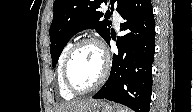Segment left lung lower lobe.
I'll return each mask as SVG.
<instances>
[{
	"mask_svg": "<svg viewBox=\"0 0 193 112\" xmlns=\"http://www.w3.org/2000/svg\"><path fill=\"white\" fill-rule=\"evenodd\" d=\"M125 20L117 39L110 76L93 96L95 99L128 106L136 112H149L152 93V63L155 53V25L150 0H132L120 13ZM109 36L107 43L110 42Z\"/></svg>",
	"mask_w": 193,
	"mask_h": 112,
	"instance_id": "1",
	"label": "left lung lower lobe"
}]
</instances>
